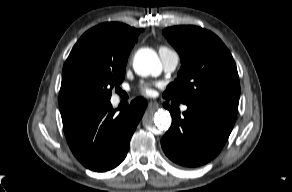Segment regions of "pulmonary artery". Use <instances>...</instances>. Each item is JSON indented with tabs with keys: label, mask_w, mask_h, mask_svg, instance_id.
<instances>
[{
	"label": "pulmonary artery",
	"mask_w": 292,
	"mask_h": 192,
	"mask_svg": "<svg viewBox=\"0 0 292 192\" xmlns=\"http://www.w3.org/2000/svg\"><path fill=\"white\" fill-rule=\"evenodd\" d=\"M159 54H160V58H161L164 70L167 72L174 71L178 65V62H179V57H178L177 53L173 50L165 49V50L159 51ZM181 110L186 111L187 106L183 105L181 107Z\"/></svg>",
	"instance_id": "1"
}]
</instances>
